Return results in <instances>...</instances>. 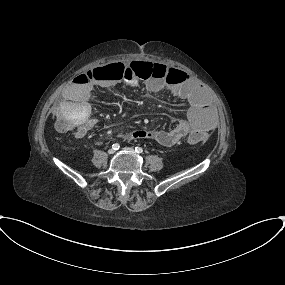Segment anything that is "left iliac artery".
Masks as SVG:
<instances>
[{"label":"left iliac artery","instance_id":"44dca946","mask_svg":"<svg viewBox=\"0 0 285 285\" xmlns=\"http://www.w3.org/2000/svg\"><path fill=\"white\" fill-rule=\"evenodd\" d=\"M135 152L138 153V154H140V153L143 152V149H142L141 147H139V146H136V147H135Z\"/></svg>","mask_w":285,"mask_h":285}]
</instances>
